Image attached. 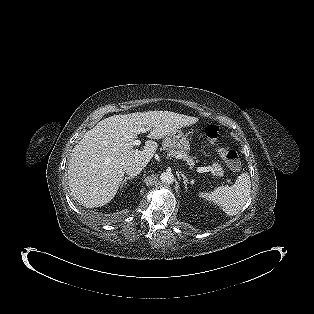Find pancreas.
Listing matches in <instances>:
<instances>
[{
  "label": "pancreas",
  "mask_w": 314,
  "mask_h": 314,
  "mask_svg": "<svg viewBox=\"0 0 314 314\" xmlns=\"http://www.w3.org/2000/svg\"><path fill=\"white\" fill-rule=\"evenodd\" d=\"M168 145H169L168 142H166V141L163 142V147L168 152L167 153L168 156L181 158V159L187 161V163L190 166H193L195 164V161L193 160V158H191L190 156L184 155L182 152L177 151L174 148H169ZM211 168H212L213 174H216L218 176H223L224 170L221 167V165H219L218 163H214V164H212Z\"/></svg>",
  "instance_id": "1"
}]
</instances>
